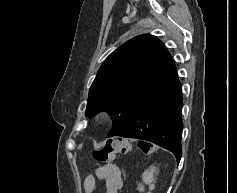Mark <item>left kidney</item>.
Instances as JSON below:
<instances>
[{"label": "left kidney", "instance_id": "obj_1", "mask_svg": "<svg viewBox=\"0 0 237 193\" xmlns=\"http://www.w3.org/2000/svg\"><path fill=\"white\" fill-rule=\"evenodd\" d=\"M158 174V171L156 170L155 166H150L149 169L145 170V172L142 174V180L145 184L149 185V190L152 191L155 188V175ZM138 190L140 192L144 191V185L139 184L138 185ZM147 192V193H151V192Z\"/></svg>", "mask_w": 237, "mask_h": 193}]
</instances>
